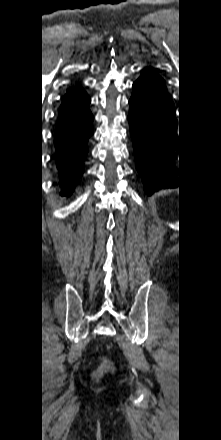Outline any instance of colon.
Returning a JSON list of instances; mask_svg holds the SVG:
<instances>
[{"label": "colon", "mask_w": 221, "mask_h": 440, "mask_svg": "<svg viewBox=\"0 0 221 440\" xmlns=\"http://www.w3.org/2000/svg\"><path fill=\"white\" fill-rule=\"evenodd\" d=\"M112 370V365L108 360H104L102 365L94 372V378L98 379L102 375L110 372Z\"/></svg>", "instance_id": "obj_1"}]
</instances>
